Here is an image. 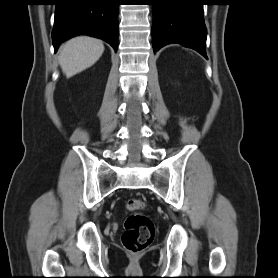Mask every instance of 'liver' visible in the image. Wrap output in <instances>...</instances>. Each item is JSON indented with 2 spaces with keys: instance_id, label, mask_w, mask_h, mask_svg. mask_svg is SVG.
<instances>
[{
  "instance_id": "liver-1",
  "label": "liver",
  "mask_w": 278,
  "mask_h": 278,
  "mask_svg": "<svg viewBox=\"0 0 278 278\" xmlns=\"http://www.w3.org/2000/svg\"><path fill=\"white\" fill-rule=\"evenodd\" d=\"M104 52L103 42L89 36L68 40L59 55L63 73L70 78L94 65Z\"/></svg>"
}]
</instances>
